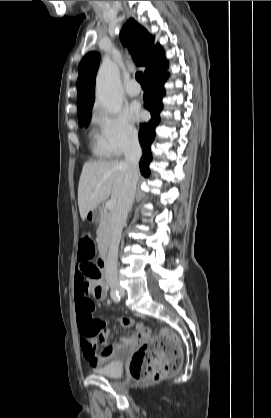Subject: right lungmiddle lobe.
<instances>
[{"label": "right lung middle lobe", "instance_id": "dd1d6c3e", "mask_svg": "<svg viewBox=\"0 0 271 418\" xmlns=\"http://www.w3.org/2000/svg\"><path fill=\"white\" fill-rule=\"evenodd\" d=\"M91 119V112L78 116L79 125L87 127Z\"/></svg>", "mask_w": 271, "mask_h": 418}]
</instances>
